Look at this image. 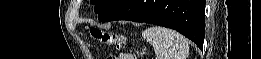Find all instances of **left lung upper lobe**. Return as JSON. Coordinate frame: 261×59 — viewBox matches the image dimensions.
I'll return each mask as SVG.
<instances>
[{
  "label": "left lung upper lobe",
  "instance_id": "left-lung-upper-lobe-1",
  "mask_svg": "<svg viewBox=\"0 0 261 59\" xmlns=\"http://www.w3.org/2000/svg\"><path fill=\"white\" fill-rule=\"evenodd\" d=\"M120 1L121 0H91V3L95 5V12L102 16Z\"/></svg>",
  "mask_w": 261,
  "mask_h": 59
}]
</instances>
